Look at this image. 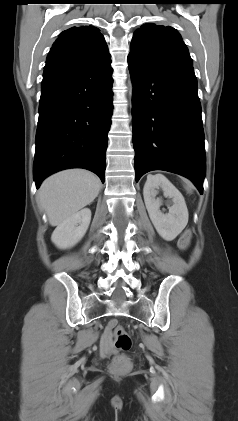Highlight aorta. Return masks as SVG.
<instances>
[{"label": "aorta", "mask_w": 238, "mask_h": 421, "mask_svg": "<svg viewBox=\"0 0 238 421\" xmlns=\"http://www.w3.org/2000/svg\"><path fill=\"white\" fill-rule=\"evenodd\" d=\"M132 94V85L130 83V95Z\"/></svg>", "instance_id": "aorta-1"}]
</instances>
